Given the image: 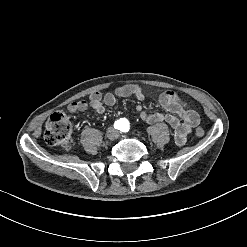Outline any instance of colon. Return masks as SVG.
Listing matches in <instances>:
<instances>
[{
	"label": "colon",
	"mask_w": 247,
	"mask_h": 247,
	"mask_svg": "<svg viewBox=\"0 0 247 247\" xmlns=\"http://www.w3.org/2000/svg\"><path fill=\"white\" fill-rule=\"evenodd\" d=\"M140 94L145 96L147 91L142 89ZM196 134L198 136H203V129L198 127ZM44 141L49 146L60 147L63 149L72 148V127L71 122L65 113L56 111L50 115L44 126Z\"/></svg>",
	"instance_id": "colon-1"
}]
</instances>
